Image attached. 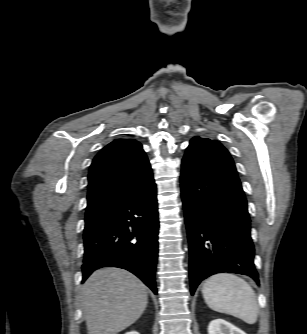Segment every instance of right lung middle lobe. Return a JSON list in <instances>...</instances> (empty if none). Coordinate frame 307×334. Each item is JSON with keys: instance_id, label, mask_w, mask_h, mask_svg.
I'll use <instances>...</instances> for the list:
<instances>
[{"instance_id": "dd1d6c3e", "label": "right lung middle lobe", "mask_w": 307, "mask_h": 334, "mask_svg": "<svg viewBox=\"0 0 307 334\" xmlns=\"http://www.w3.org/2000/svg\"><path fill=\"white\" fill-rule=\"evenodd\" d=\"M99 216H92V217H86L85 218V228L90 227L93 225L97 220Z\"/></svg>"}]
</instances>
